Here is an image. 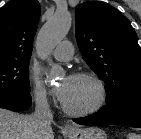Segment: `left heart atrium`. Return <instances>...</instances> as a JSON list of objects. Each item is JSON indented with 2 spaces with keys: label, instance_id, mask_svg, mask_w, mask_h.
Listing matches in <instances>:
<instances>
[{
  "label": "left heart atrium",
  "instance_id": "obj_1",
  "mask_svg": "<svg viewBox=\"0 0 141 139\" xmlns=\"http://www.w3.org/2000/svg\"><path fill=\"white\" fill-rule=\"evenodd\" d=\"M70 85V77L65 78L57 87H55L54 91L57 97L63 102L68 94Z\"/></svg>",
  "mask_w": 141,
  "mask_h": 139
}]
</instances>
